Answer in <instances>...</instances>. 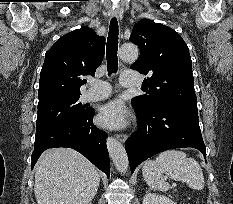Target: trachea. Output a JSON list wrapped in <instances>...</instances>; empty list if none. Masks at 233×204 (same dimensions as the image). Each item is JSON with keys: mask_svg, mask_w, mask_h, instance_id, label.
Listing matches in <instances>:
<instances>
[{"mask_svg": "<svg viewBox=\"0 0 233 204\" xmlns=\"http://www.w3.org/2000/svg\"><path fill=\"white\" fill-rule=\"evenodd\" d=\"M118 22L116 18H113L110 22V28L107 38L106 46V59H107V70L108 75L116 73L118 70Z\"/></svg>", "mask_w": 233, "mask_h": 204, "instance_id": "1", "label": "trachea"}]
</instances>
